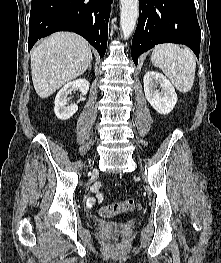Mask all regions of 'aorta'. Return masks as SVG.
Masks as SVG:
<instances>
[{
  "label": "aorta",
  "instance_id": "1",
  "mask_svg": "<svg viewBox=\"0 0 221 263\" xmlns=\"http://www.w3.org/2000/svg\"><path fill=\"white\" fill-rule=\"evenodd\" d=\"M120 24L123 39H128L134 31L138 18V0H120Z\"/></svg>",
  "mask_w": 221,
  "mask_h": 263
}]
</instances>
